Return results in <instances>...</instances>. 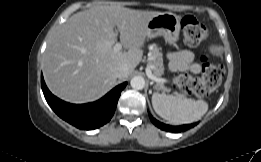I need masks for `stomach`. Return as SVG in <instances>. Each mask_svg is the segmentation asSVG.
Segmentation results:
<instances>
[{"label": "stomach", "instance_id": "0dacf381", "mask_svg": "<svg viewBox=\"0 0 261 162\" xmlns=\"http://www.w3.org/2000/svg\"><path fill=\"white\" fill-rule=\"evenodd\" d=\"M147 37L163 36L170 46H175L179 38L180 17L171 12L152 17L146 24Z\"/></svg>", "mask_w": 261, "mask_h": 162}]
</instances>
